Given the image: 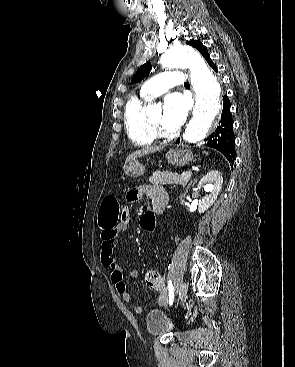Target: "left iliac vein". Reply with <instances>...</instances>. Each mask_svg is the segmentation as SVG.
Masks as SVG:
<instances>
[{"label": "left iliac vein", "mask_w": 295, "mask_h": 367, "mask_svg": "<svg viewBox=\"0 0 295 367\" xmlns=\"http://www.w3.org/2000/svg\"><path fill=\"white\" fill-rule=\"evenodd\" d=\"M187 290H188V286L185 282L180 284L179 286H177V292L179 294V301L180 302L184 301V299L187 295Z\"/></svg>", "instance_id": "4c4485c4"}]
</instances>
